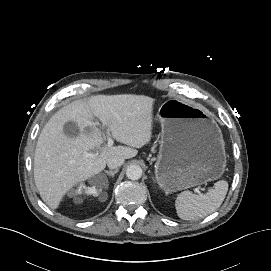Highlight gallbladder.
<instances>
[{"mask_svg": "<svg viewBox=\"0 0 271 271\" xmlns=\"http://www.w3.org/2000/svg\"><path fill=\"white\" fill-rule=\"evenodd\" d=\"M64 133L68 136V137H76L79 134V128L76 125V123H74L73 121H68L65 125H64Z\"/></svg>", "mask_w": 271, "mask_h": 271, "instance_id": "1", "label": "gallbladder"}]
</instances>
